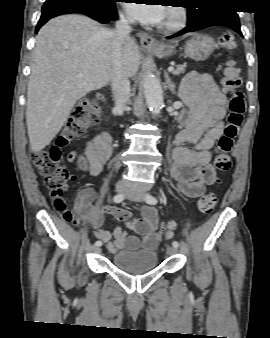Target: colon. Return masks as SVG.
Masks as SVG:
<instances>
[{"instance_id":"1","label":"colon","mask_w":270,"mask_h":338,"mask_svg":"<svg viewBox=\"0 0 270 338\" xmlns=\"http://www.w3.org/2000/svg\"><path fill=\"white\" fill-rule=\"evenodd\" d=\"M218 48L231 52L236 47L235 37L232 33H224L217 40ZM221 84L226 91L232 92L228 102L227 121L224 133L218 141L219 154L214 159L217 171L225 173L230 170L232 159L230 153L234 146L235 138L243 123L245 104L243 93L238 90L241 86L240 68L232 60H228L223 71ZM99 105L97 100H86L76 106L69 119L63 125L61 131L56 135L54 143L47 149L31 153V160L35 168L43 175L46 187L51 191V199L54 209L67 220L72 221L73 215L62 201L64 192L75 181L76 177L63 165H61L62 148L70 143L81 139L87 129L97 122ZM216 204L214 194H206L198 200V208L204 214H210ZM137 228V225H133ZM175 224L170 223L162 231L171 238Z\"/></svg>"}]
</instances>
